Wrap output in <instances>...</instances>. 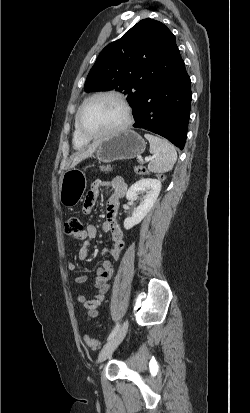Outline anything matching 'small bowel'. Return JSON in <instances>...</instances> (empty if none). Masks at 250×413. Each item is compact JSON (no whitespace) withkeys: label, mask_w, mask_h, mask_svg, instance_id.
Instances as JSON below:
<instances>
[{"label":"small bowel","mask_w":250,"mask_h":413,"mask_svg":"<svg viewBox=\"0 0 250 413\" xmlns=\"http://www.w3.org/2000/svg\"><path fill=\"white\" fill-rule=\"evenodd\" d=\"M105 187L112 188V193L107 201V216L102 225L103 230L111 234L112 242L110 246L103 250V254L108 258L102 261L101 266L96 272L95 288L97 293L91 298H87L84 294L77 295V302L87 309L89 317H95L97 315V309L104 301L105 294L110 286L114 271V261L120 259L125 249L123 232L116 221L119 200L126 192V184L121 177H114L109 180L99 179L93 182L86 196L83 212L85 214L91 212L94 202L99 198L101 190ZM96 233L97 229L93 224H87L84 229L75 232V235L79 236L78 239L82 241V245L78 251V259L80 261L87 259L90 242L95 238ZM69 256L72 257V253H70ZM68 268L71 271H75L76 265L72 261H69ZM74 281L77 284H84L87 281V276L78 274L74 278Z\"/></svg>","instance_id":"1"}]
</instances>
